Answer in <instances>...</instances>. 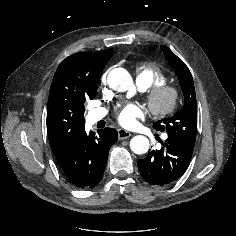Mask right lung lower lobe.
<instances>
[{
  "mask_svg": "<svg viewBox=\"0 0 236 236\" xmlns=\"http://www.w3.org/2000/svg\"><path fill=\"white\" fill-rule=\"evenodd\" d=\"M115 129L105 128L89 135L85 127L81 129L63 159L58 161L64 176L75 187L89 189L96 186L102 178L108 153L117 141Z\"/></svg>",
  "mask_w": 236,
  "mask_h": 236,
  "instance_id": "1",
  "label": "right lung lower lobe"
}]
</instances>
